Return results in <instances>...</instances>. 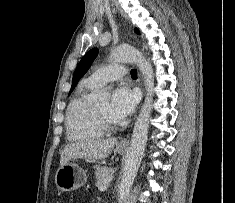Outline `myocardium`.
I'll return each instance as SVG.
<instances>
[{
    "instance_id": "obj_1",
    "label": "myocardium",
    "mask_w": 235,
    "mask_h": 203,
    "mask_svg": "<svg viewBox=\"0 0 235 203\" xmlns=\"http://www.w3.org/2000/svg\"><path fill=\"white\" fill-rule=\"evenodd\" d=\"M95 113L97 121L104 132H111L117 129L118 124L108 119L97 105H95Z\"/></svg>"
}]
</instances>
